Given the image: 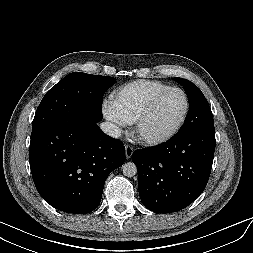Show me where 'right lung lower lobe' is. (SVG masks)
Segmentation results:
<instances>
[{"mask_svg":"<svg viewBox=\"0 0 253 253\" xmlns=\"http://www.w3.org/2000/svg\"><path fill=\"white\" fill-rule=\"evenodd\" d=\"M32 177L52 207L85 214L98 207L105 180L125 161V147L96 122L71 120L32 131Z\"/></svg>","mask_w":253,"mask_h":253,"instance_id":"1","label":"right lung lower lobe"}]
</instances>
